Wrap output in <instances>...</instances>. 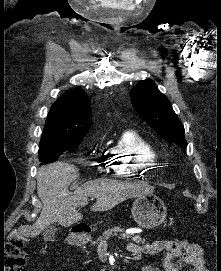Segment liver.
Masks as SVG:
<instances>
[{
	"instance_id": "6515ba94",
	"label": "liver",
	"mask_w": 221,
	"mask_h": 271,
	"mask_svg": "<svg viewBox=\"0 0 221 271\" xmlns=\"http://www.w3.org/2000/svg\"><path fill=\"white\" fill-rule=\"evenodd\" d=\"M79 173L75 165L65 161H54L39 167L37 173V193L42 201V211L33 225L16 231V237L26 239L39 235L51 223H59L70 227L83 219L82 213L76 209L87 201L88 195L96 197L91 211H108L127 197H138L140 193H148L145 187L138 189L135 183H126L119 179H91L83 183L75 191H69V185L77 179Z\"/></svg>"
}]
</instances>
